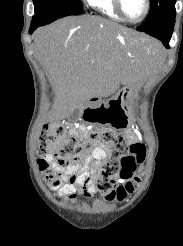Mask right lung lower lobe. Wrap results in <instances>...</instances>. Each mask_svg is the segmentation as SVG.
Listing matches in <instances>:
<instances>
[{"mask_svg": "<svg viewBox=\"0 0 183 246\" xmlns=\"http://www.w3.org/2000/svg\"><path fill=\"white\" fill-rule=\"evenodd\" d=\"M76 15H78V14H76ZM43 25H45L44 22H31L29 33L31 34L36 28H38L39 26H43Z\"/></svg>", "mask_w": 183, "mask_h": 246, "instance_id": "98d812e1", "label": "right lung lower lobe"}]
</instances>
